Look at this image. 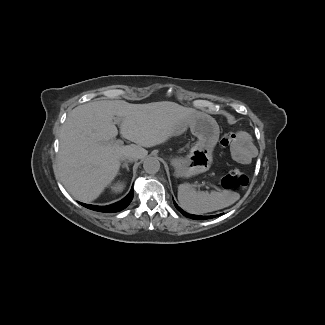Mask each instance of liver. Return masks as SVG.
<instances>
[{
    "instance_id": "6515ba94",
    "label": "liver",
    "mask_w": 325,
    "mask_h": 325,
    "mask_svg": "<svg viewBox=\"0 0 325 325\" xmlns=\"http://www.w3.org/2000/svg\"><path fill=\"white\" fill-rule=\"evenodd\" d=\"M195 112L170 101L130 104L99 100L79 105L60 130L54 173L74 199L91 202L116 177L126 151L144 156L147 151L142 146L164 142L179 120ZM114 116L121 137L137 145L124 146L114 141L118 134Z\"/></svg>"
}]
</instances>
